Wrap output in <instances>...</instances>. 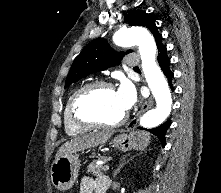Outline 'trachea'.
Listing matches in <instances>:
<instances>
[{
  "mask_svg": "<svg viewBox=\"0 0 221 193\" xmlns=\"http://www.w3.org/2000/svg\"><path fill=\"white\" fill-rule=\"evenodd\" d=\"M134 69H138V67H134Z\"/></svg>",
  "mask_w": 221,
  "mask_h": 193,
  "instance_id": "trachea-1",
  "label": "trachea"
}]
</instances>
